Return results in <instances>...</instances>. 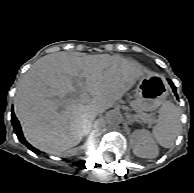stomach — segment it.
<instances>
[{
  "label": "stomach",
  "instance_id": "1",
  "mask_svg": "<svg viewBox=\"0 0 194 193\" xmlns=\"http://www.w3.org/2000/svg\"><path fill=\"white\" fill-rule=\"evenodd\" d=\"M135 91L136 111L144 113L157 109L168 95L165 79L154 74L142 75Z\"/></svg>",
  "mask_w": 194,
  "mask_h": 193
}]
</instances>
